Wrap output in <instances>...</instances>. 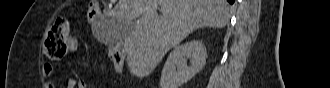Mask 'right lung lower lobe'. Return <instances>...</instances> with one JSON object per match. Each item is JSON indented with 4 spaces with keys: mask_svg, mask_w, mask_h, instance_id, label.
Here are the masks:
<instances>
[{
    "mask_svg": "<svg viewBox=\"0 0 330 88\" xmlns=\"http://www.w3.org/2000/svg\"><path fill=\"white\" fill-rule=\"evenodd\" d=\"M230 4H233L235 0H227Z\"/></svg>",
    "mask_w": 330,
    "mask_h": 88,
    "instance_id": "right-lung-lower-lobe-1",
    "label": "right lung lower lobe"
}]
</instances>
